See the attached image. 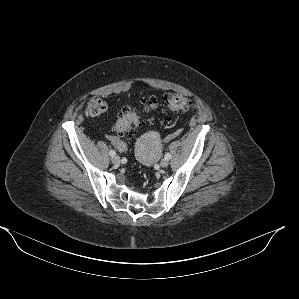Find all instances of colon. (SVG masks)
Here are the masks:
<instances>
[{"label": "colon", "mask_w": 299, "mask_h": 299, "mask_svg": "<svg viewBox=\"0 0 299 299\" xmlns=\"http://www.w3.org/2000/svg\"><path fill=\"white\" fill-rule=\"evenodd\" d=\"M145 110H154L157 107L156 99H144L142 101ZM164 104L171 111L187 112L194 109V102L185 96L180 95H166L164 97ZM106 110L105 102L99 97H92L85 106V114L88 117H96L101 115ZM139 123V113L136 111L125 110L118 117L115 123V131L119 136L133 135L135 127ZM119 138V137H118ZM117 142L116 148L120 151L126 152L128 150L127 144L121 139Z\"/></svg>", "instance_id": "obj_1"}]
</instances>
